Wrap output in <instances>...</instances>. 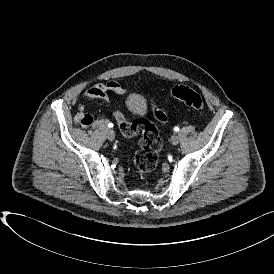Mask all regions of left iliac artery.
Masks as SVG:
<instances>
[{"mask_svg":"<svg viewBox=\"0 0 274 274\" xmlns=\"http://www.w3.org/2000/svg\"><path fill=\"white\" fill-rule=\"evenodd\" d=\"M174 131H175V132H178V131H179V128H178V127H174Z\"/></svg>","mask_w":274,"mask_h":274,"instance_id":"1","label":"left iliac artery"}]
</instances>
